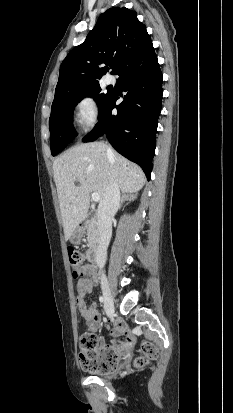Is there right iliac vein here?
<instances>
[{
	"label": "right iliac vein",
	"instance_id": "1",
	"mask_svg": "<svg viewBox=\"0 0 233 413\" xmlns=\"http://www.w3.org/2000/svg\"><path fill=\"white\" fill-rule=\"evenodd\" d=\"M103 295H104V308L107 315L111 316L114 313L113 297L106 282L102 283Z\"/></svg>",
	"mask_w": 233,
	"mask_h": 413
}]
</instances>
